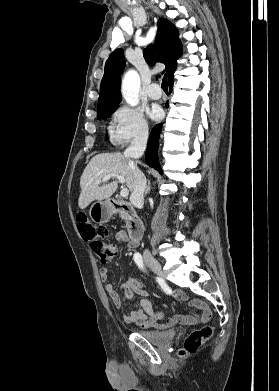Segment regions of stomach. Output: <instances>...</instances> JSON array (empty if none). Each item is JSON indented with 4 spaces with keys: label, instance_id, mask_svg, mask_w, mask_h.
I'll use <instances>...</instances> for the list:
<instances>
[{
    "label": "stomach",
    "instance_id": "stomach-1",
    "mask_svg": "<svg viewBox=\"0 0 279 391\" xmlns=\"http://www.w3.org/2000/svg\"><path fill=\"white\" fill-rule=\"evenodd\" d=\"M89 214L94 222L105 223L111 218L113 209L109 202H96L91 206Z\"/></svg>",
    "mask_w": 279,
    "mask_h": 391
}]
</instances>
